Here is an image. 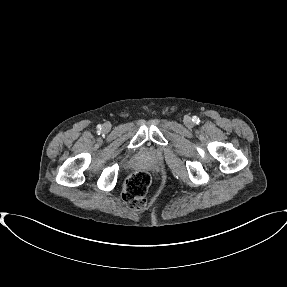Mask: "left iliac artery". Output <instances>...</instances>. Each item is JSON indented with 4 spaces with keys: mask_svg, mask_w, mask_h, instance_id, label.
I'll use <instances>...</instances> for the list:
<instances>
[{
    "mask_svg": "<svg viewBox=\"0 0 287 287\" xmlns=\"http://www.w3.org/2000/svg\"><path fill=\"white\" fill-rule=\"evenodd\" d=\"M192 121H193L194 123L198 124L200 120H199L198 117L194 116L193 119H192Z\"/></svg>",
    "mask_w": 287,
    "mask_h": 287,
    "instance_id": "left-iliac-artery-1",
    "label": "left iliac artery"
}]
</instances>
